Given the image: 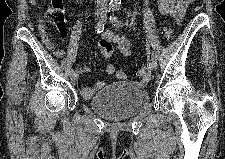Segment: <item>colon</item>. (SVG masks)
<instances>
[{
	"label": "colon",
	"instance_id": "1",
	"mask_svg": "<svg viewBox=\"0 0 225 159\" xmlns=\"http://www.w3.org/2000/svg\"><path fill=\"white\" fill-rule=\"evenodd\" d=\"M48 19L55 24L58 28H65L64 23V9L61 0H52L50 7L47 10ZM172 28L166 26L163 28V35L166 39H170L172 36ZM102 53L106 59H110L112 56V48L109 46H104L102 48ZM138 77L141 82L146 83L150 80V72L147 66H143L138 71Z\"/></svg>",
	"mask_w": 225,
	"mask_h": 159
}]
</instances>
